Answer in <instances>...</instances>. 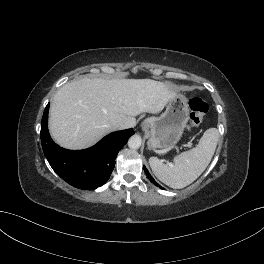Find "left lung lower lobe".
Listing matches in <instances>:
<instances>
[{
    "label": "left lung lower lobe",
    "instance_id": "obj_1",
    "mask_svg": "<svg viewBox=\"0 0 264 264\" xmlns=\"http://www.w3.org/2000/svg\"><path fill=\"white\" fill-rule=\"evenodd\" d=\"M147 177L149 178V180L156 186L160 187L161 189H163L154 179L153 177L150 175V173L148 172V170L145 168V166L143 167Z\"/></svg>",
    "mask_w": 264,
    "mask_h": 264
}]
</instances>
